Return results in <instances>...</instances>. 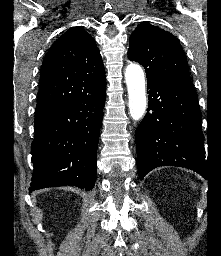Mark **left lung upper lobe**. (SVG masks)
<instances>
[{
    "mask_svg": "<svg viewBox=\"0 0 221 256\" xmlns=\"http://www.w3.org/2000/svg\"><path fill=\"white\" fill-rule=\"evenodd\" d=\"M128 58L145 68L147 81L191 85L188 63L179 41L147 22L140 23L130 36Z\"/></svg>",
    "mask_w": 221,
    "mask_h": 256,
    "instance_id": "obj_1",
    "label": "left lung upper lobe"
}]
</instances>
